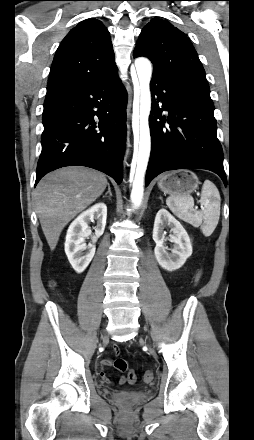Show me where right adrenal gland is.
Segmentation results:
<instances>
[{
    "label": "right adrenal gland",
    "mask_w": 254,
    "mask_h": 440,
    "mask_svg": "<svg viewBox=\"0 0 254 440\" xmlns=\"http://www.w3.org/2000/svg\"><path fill=\"white\" fill-rule=\"evenodd\" d=\"M107 186H108V191L105 193V195L103 197H106L109 194V197L111 198L112 192H111L110 184L108 183Z\"/></svg>",
    "instance_id": "right-adrenal-gland-1"
}]
</instances>
